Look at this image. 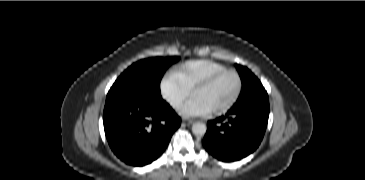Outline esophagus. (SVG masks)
<instances>
[{
	"mask_svg": "<svg viewBox=\"0 0 365 180\" xmlns=\"http://www.w3.org/2000/svg\"><path fill=\"white\" fill-rule=\"evenodd\" d=\"M184 123L187 124V125H191L193 123V121H191V120H184Z\"/></svg>",
	"mask_w": 365,
	"mask_h": 180,
	"instance_id": "1",
	"label": "esophagus"
}]
</instances>
